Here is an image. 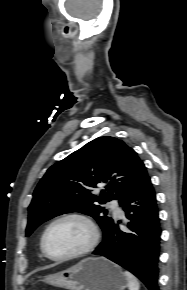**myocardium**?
Wrapping results in <instances>:
<instances>
[{"instance_id":"myocardium-1","label":"myocardium","mask_w":187,"mask_h":290,"mask_svg":"<svg viewBox=\"0 0 187 290\" xmlns=\"http://www.w3.org/2000/svg\"><path fill=\"white\" fill-rule=\"evenodd\" d=\"M65 220H77L83 223L87 227L90 233V239L88 243L80 250H77L75 252L62 255V256H53L49 253L48 248H47V237L50 230L53 228L54 225ZM99 239H100V232H99L98 226L89 215L83 212H76V211L68 212L54 218L47 225L41 237V249H42L43 254L50 260L65 261V260H70V259L78 258V257L89 254L96 248V246L98 245Z\"/></svg>"}]
</instances>
